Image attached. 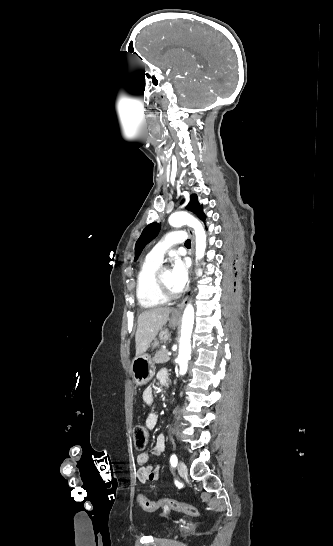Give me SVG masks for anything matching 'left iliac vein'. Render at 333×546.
Masks as SVG:
<instances>
[{
  "instance_id": "4c4485c4",
  "label": "left iliac vein",
  "mask_w": 333,
  "mask_h": 546,
  "mask_svg": "<svg viewBox=\"0 0 333 546\" xmlns=\"http://www.w3.org/2000/svg\"><path fill=\"white\" fill-rule=\"evenodd\" d=\"M178 472L182 477L186 476L187 474V466L183 461H179L178 463Z\"/></svg>"
}]
</instances>
